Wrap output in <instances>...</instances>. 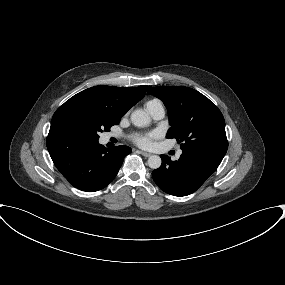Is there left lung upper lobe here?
I'll list each match as a JSON object with an SVG mask.
<instances>
[{
    "mask_svg": "<svg viewBox=\"0 0 285 285\" xmlns=\"http://www.w3.org/2000/svg\"><path fill=\"white\" fill-rule=\"evenodd\" d=\"M148 94L165 104L171 128L167 138H176L183 150L225 155L228 141L220 110L200 92L184 86L154 87Z\"/></svg>",
    "mask_w": 285,
    "mask_h": 285,
    "instance_id": "1",
    "label": "left lung upper lobe"
}]
</instances>
